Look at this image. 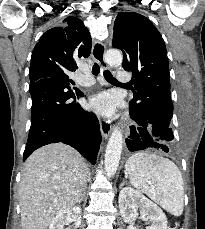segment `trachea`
<instances>
[{
    "label": "trachea",
    "instance_id": "1",
    "mask_svg": "<svg viewBox=\"0 0 205 229\" xmlns=\"http://www.w3.org/2000/svg\"><path fill=\"white\" fill-rule=\"evenodd\" d=\"M99 72H100V67H99V65H98L97 63H95V64L93 65V68H92V73H93L94 75H98ZM103 74H104L105 79H106L108 82L114 83V84H121V83H119V82L113 77V75H112L108 70H105V71L103 72Z\"/></svg>",
    "mask_w": 205,
    "mask_h": 229
}]
</instances>
